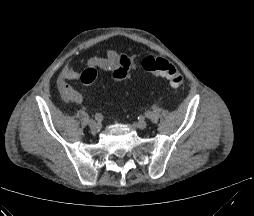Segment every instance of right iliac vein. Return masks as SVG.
Masks as SVG:
<instances>
[{
  "label": "right iliac vein",
  "instance_id": "63e3f726",
  "mask_svg": "<svg viewBox=\"0 0 254 216\" xmlns=\"http://www.w3.org/2000/svg\"><path fill=\"white\" fill-rule=\"evenodd\" d=\"M88 125H89L90 129H91L93 132H97V131L101 128L100 123H97V122L94 121V120H90V121L88 122Z\"/></svg>",
  "mask_w": 254,
  "mask_h": 216
}]
</instances>
